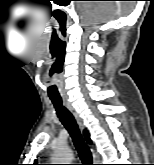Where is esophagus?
<instances>
[{"label": "esophagus", "mask_w": 154, "mask_h": 165, "mask_svg": "<svg viewBox=\"0 0 154 165\" xmlns=\"http://www.w3.org/2000/svg\"><path fill=\"white\" fill-rule=\"evenodd\" d=\"M63 104L72 113L77 124L83 130L84 129L83 121H82L81 117L79 116V114L77 113V111L75 110V108L71 105L70 102H68L67 99H63ZM92 151H93L94 157H96V153H95L94 149H92Z\"/></svg>", "instance_id": "esophagus-1"}]
</instances>
